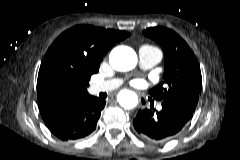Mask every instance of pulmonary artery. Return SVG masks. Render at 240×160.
<instances>
[{
    "label": "pulmonary artery",
    "mask_w": 240,
    "mask_h": 160,
    "mask_svg": "<svg viewBox=\"0 0 240 160\" xmlns=\"http://www.w3.org/2000/svg\"><path fill=\"white\" fill-rule=\"evenodd\" d=\"M162 58L161 52L151 46L144 45L139 49V66L143 70H148L160 62ZM123 83L121 78H113L101 82L94 83L92 90L94 93L110 91L118 88ZM158 110L162 106H157Z\"/></svg>",
    "instance_id": "1"
}]
</instances>
